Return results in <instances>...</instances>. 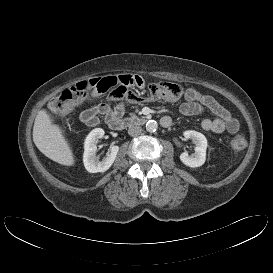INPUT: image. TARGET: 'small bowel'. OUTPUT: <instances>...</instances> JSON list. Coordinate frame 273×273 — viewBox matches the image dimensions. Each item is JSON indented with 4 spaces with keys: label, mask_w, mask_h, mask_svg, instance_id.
I'll return each instance as SVG.
<instances>
[{
    "label": "small bowel",
    "mask_w": 273,
    "mask_h": 273,
    "mask_svg": "<svg viewBox=\"0 0 273 273\" xmlns=\"http://www.w3.org/2000/svg\"><path fill=\"white\" fill-rule=\"evenodd\" d=\"M137 86L140 89L145 88V82L137 76ZM138 100L132 103H139L143 100L140 94L136 93ZM125 110V104L119 103L114 108L106 103L98 104L94 107L84 110L80 114V120L88 125L95 126L99 123V116H105L106 119L111 115H122ZM179 111L183 115L192 116L200 115L205 111L215 115L214 119H204L201 122V128L205 131L214 133H222L227 131L231 134L239 130V122L231 115V113L223 107L215 98L206 95L194 88H189L184 93V101L179 107ZM169 118V117H167ZM170 119V118H169Z\"/></svg>",
    "instance_id": "small-bowel-1"
}]
</instances>
